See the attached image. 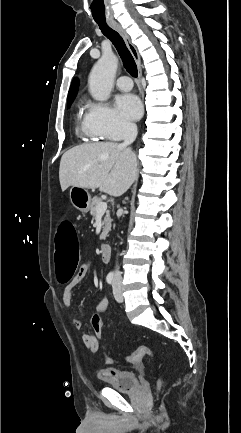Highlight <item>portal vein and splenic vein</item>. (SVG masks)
<instances>
[{"label": "portal vein and splenic vein", "mask_w": 241, "mask_h": 433, "mask_svg": "<svg viewBox=\"0 0 241 433\" xmlns=\"http://www.w3.org/2000/svg\"><path fill=\"white\" fill-rule=\"evenodd\" d=\"M106 210H107V203L106 202H101L96 207L97 215L104 214L106 212Z\"/></svg>", "instance_id": "obj_1"}]
</instances>
